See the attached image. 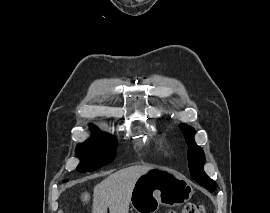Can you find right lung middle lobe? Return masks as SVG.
Segmentation results:
<instances>
[{
    "label": "right lung middle lobe",
    "mask_w": 270,
    "mask_h": 213,
    "mask_svg": "<svg viewBox=\"0 0 270 213\" xmlns=\"http://www.w3.org/2000/svg\"><path fill=\"white\" fill-rule=\"evenodd\" d=\"M91 129H95V127L92 125ZM116 145V139L106 134H97L94 139L79 144L75 150L81 160L77 170L91 172L112 162L115 157Z\"/></svg>",
    "instance_id": "obj_1"
}]
</instances>
